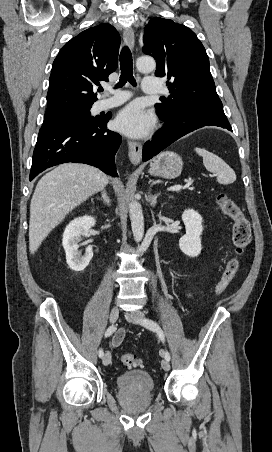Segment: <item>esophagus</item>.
Returning <instances> with one entry per match:
<instances>
[{
	"label": "esophagus",
	"instance_id": "obj_1",
	"mask_svg": "<svg viewBox=\"0 0 272 452\" xmlns=\"http://www.w3.org/2000/svg\"><path fill=\"white\" fill-rule=\"evenodd\" d=\"M123 37L125 42L130 48L134 47L135 38H134V31L132 29H125L123 31ZM128 148H129V159L134 164L137 165L141 160L142 155V145L141 143L137 141H128Z\"/></svg>",
	"mask_w": 272,
	"mask_h": 452
}]
</instances>
